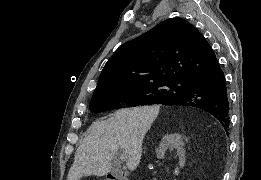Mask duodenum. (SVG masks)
I'll return each mask as SVG.
<instances>
[{
  "mask_svg": "<svg viewBox=\"0 0 261 180\" xmlns=\"http://www.w3.org/2000/svg\"><path fill=\"white\" fill-rule=\"evenodd\" d=\"M108 180H129L128 177H120L119 173H108Z\"/></svg>",
  "mask_w": 261,
  "mask_h": 180,
  "instance_id": "obj_1",
  "label": "duodenum"
}]
</instances>
